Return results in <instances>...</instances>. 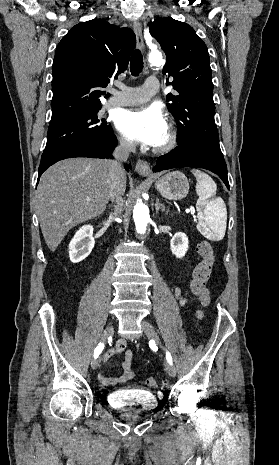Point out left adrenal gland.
<instances>
[{
    "instance_id": "a2214340",
    "label": "left adrenal gland",
    "mask_w": 279,
    "mask_h": 465,
    "mask_svg": "<svg viewBox=\"0 0 279 465\" xmlns=\"http://www.w3.org/2000/svg\"><path fill=\"white\" fill-rule=\"evenodd\" d=\"M163 207H164L163 204H161V203L159 202V199L156 198V204H155L156 213H158L159 210H162V211H163Z\"/></svg>"
}]
</instances>
